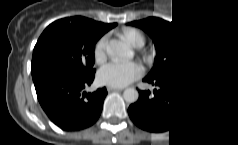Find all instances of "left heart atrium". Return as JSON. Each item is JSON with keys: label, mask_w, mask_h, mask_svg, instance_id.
Segmentation results:
<instances>
[{"label": "left heart atrium", "mask_w": 238, "mask_h": 145, "mask_svg": "<svg viewBox=\"0 0 238 145\" xmlns=\"http://www.w3.org/2000/svg\"><path fill=\"white\" fill-rule=\"evenodd\" d=\"M137 74L138 69L133 63L113 61L99 70L98 80L110 87H123L132 82Z\"/></svg>", "instance_id": "obj_1"}]
</instances>
